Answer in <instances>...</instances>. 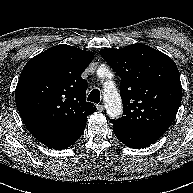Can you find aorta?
<instances>
[{
	"mask_svg": "<svg viewBox=\"0 0 193 193\" xmlns=\"http://www.w3.org/2000/svg\"><path fill=\"white\" fill-rule=\"evenodd\" d=\"M104 100L107 109V113L116 118L122 113V103L119 93L114 87L108 88L104 93Z\"/></svg>",
	"mask_w": 193,
	"mask_h": 193,
	"instance_id": "obj_1",
	"label": "aorta"
}]
</instances>
